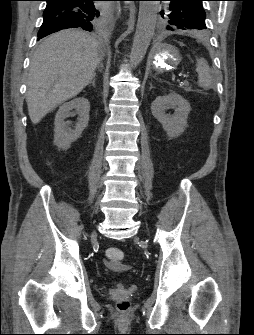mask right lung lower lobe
Wrapping results in <instances>:
<instances>
[{"label":"right lung lower lobe","instance_id":"obj_1","mask_svg":"<svg viewBox=\"0 0 254 335\" xmlns=\"http://www.w3.org/2000/svg\"><path fill=\"white\" fill-rule=\"evenodd\" d=\"M47 6L43 13L38 38L67 28L80 27L91 31L96 24L94 17L98 11L94 1L98 0H46Z\"/></svg>","mask_w":254,"mask_h":335}]
</instances>
